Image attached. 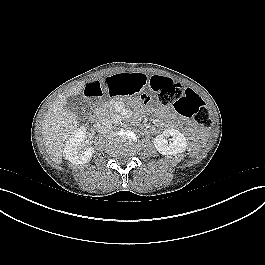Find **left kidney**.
Wrapping results in <instances>:
<instances>
[{
	"label": "left kidney",
	"mask_w": 265,
	"mask_h": 265,
	"mask_svg": "<svg viewBox=\"0 0 265 265\" xmlns=\"http://www.w3.org/2000/svg\"><path fill=\"white\" fill-rule=\"evenodd\" d=\"M172 136V142L167 141L165 137ZM156 150L163 155H174L186 150L187 140L185 136L174 128H168L162 134L157 135L154 139Z\"/></svg>",
	"instance_id": "obj_1"
}]
</instances>
